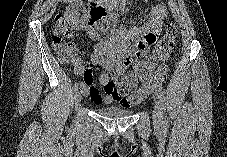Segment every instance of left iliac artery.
<instances>
[{"label": "left iliac artery", "instance_id": "left-iliac-artery-1", "mask_svg": "<svg viewBox=\"0 0 227 157\" xmlns=\"http://www.w3.org/2000/svg\"><path fill=\"white\" fill-rule=\"evenodd\" d=\"M157 96H158L160 106H161V110H162V114H163L166 110V108H165V96H164V94L161 90H158Z\"/></svg>", "mask_w": 227, "mask_h": 157}]
</instances>
